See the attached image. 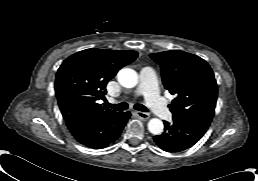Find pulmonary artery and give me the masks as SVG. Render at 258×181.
I'll return each instance as SVG.
<instances>
[{
    "mask_svg": "<svg viewBox=\"0 0 258 181\" xmlns=\"http://www.w3.org/2000/svg\"><path fill=\"white\" fill-rule=\"evenodd\" d=\"M136 94L144 95L148 106L159 118H171L169 109L159 95L157 78L153 69L145 67L140 71V83Z\"/></svg>",
    "mask_w": 258,
    "mask_h": 181,
    "instance_id": "1",
    "label": "pulmonary artery"
}]
</instances>
